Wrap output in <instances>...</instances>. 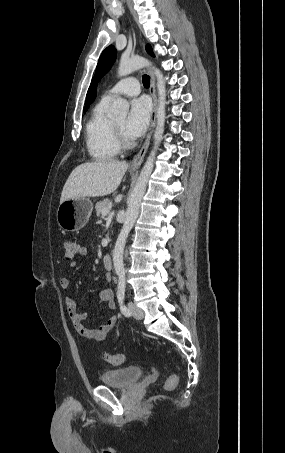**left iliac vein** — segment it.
<instances>
[{"mask_svg": "<svg viewBox=\"0 0 285 453\" xmlns=\"http://www.w3.org/2000/svg\"><path fill=\"white\" fill-rule=\"evenodd\" d=\"M129 310L134 318L141 320L144 317V312L140 309L135 303L129 302L128 303Z\"/></svg>", "mask_w": 285, "mask_h": 453, "instance_id": "left-iliac-vein-1", "label": "left iliac vein"}]
</instances>
